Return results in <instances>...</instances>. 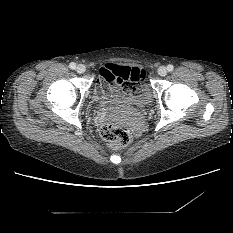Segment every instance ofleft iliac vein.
Here are the masks:
<instances>
[{
    "label": "left iliac vein",
    "instance_id": "left-iliac-vein-1",
    "mask_svg": "<svg viewBox=\"0 0 233 233\" xmlns=\"http://www.w3.org/2000/svg\"><path fill=\"white\" fill-rule=\"evenodd\" d=\"M167 73H168V70H167V68L165 66H160L158 68V74L160 76H165Z\"/></svg>",
    "mask_w": 233,
    "mask_h": 233
}]
</instances>
